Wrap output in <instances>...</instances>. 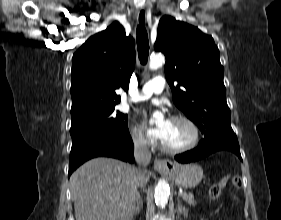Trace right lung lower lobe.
I'll return each instance as SVG.
<instances>
[{
    "label": "right lung lower lobe",
    "mask_w": 281,
    "mask_h": 220,
    "mask_svg": "<svg viewBox=\"0 0 281 220\" xmlns=\"http://www.w3.org/2000/svg\"><path fill=\"white\" fill-rule=\"evenodd\" d=\"M133 153L134 145L130 135L82 138L72 142L68 174L70 176L77 167L95 157L105 156L133 162Z\"/></svg>",
    "instance_id": "obj_1"
}]
</instances>
